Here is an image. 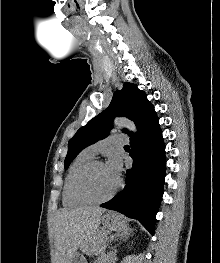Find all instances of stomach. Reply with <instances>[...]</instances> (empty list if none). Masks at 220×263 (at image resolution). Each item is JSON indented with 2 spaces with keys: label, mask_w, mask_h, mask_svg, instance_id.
<instances>
[{
  "label": "stomach",
  "mask_w": 220,
  "mask_h": 263,
  "mask_svg": "<svg viewBox=\"0 0 220 263\" xmlns=\"http://www.w3.org/2000/svg\"><path fill=\"white\" fill-rule=\"evenodd\" d=\"M104 229L108 231L121 232L127 229V223L124 217L115 212H108L101 218ZM70 263H86L82 254L76 252Z\"/></svg>",
  "instance_id": "0dacf381"
}]
</instances>
